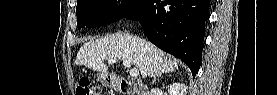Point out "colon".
I'll list each match as a JSON object with an SVG mask.
<instances>
[{
	"label": "colon",
	"mask_w": 277,
	"mask_h": 95,
	"mask_svg": "<svg viewBox=\"0 0 277 95\" xmlns=\"http://www.w3.org/2000/svg\"><path fill=\"white\" fill-rule=\"evenodd\" d=\"M78 95H99L101 90L99 87L93 85L88 79H83L79 82L77 87Z\"/></svg>",
	"instance_id": "5ec220e1"
}]
</instances>
